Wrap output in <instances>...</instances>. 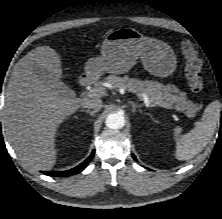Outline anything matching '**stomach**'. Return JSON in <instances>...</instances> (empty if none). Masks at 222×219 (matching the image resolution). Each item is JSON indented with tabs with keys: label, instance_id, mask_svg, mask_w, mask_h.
Instances as JSON below:
<instances>
[{
	"label": "stomach",
	"instance_id": "0dacf381",
	"mask_svg": "<svg viewBox=\"0 0 222 219\" xmlns=\"http://www.w3.org/2000/svg\"><path fill=\"white\" fill-rule=\"evenodd\" d=\"M138 59L149 73L158 77L171 75L177 65L176 55L167 43L146 37L133 28H120L105 37L101 56L86 62L85 75L95 80L104 72L123 74Z\"/></svg>",
	"mask_w": 222,
	"mask_h": 219
}]
</instances>
